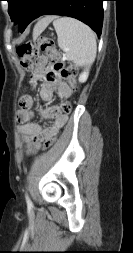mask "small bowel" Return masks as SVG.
Masks as SVG:
<instances>
[{"mask_svg": "<svg viewBox=\"0 0 133 253\" xmlns=\"http://www.w3.org/2000/svg\"><path fill=\"white\" fill-rule=\"evenodd\" d=\"M49 61H54V56H41L37 59L31 85L35 87L41 82L39 93L44 101H51L55 94L66 100L71 97L72 89L69 84L60 79L58 74L54 73L53 65ZM56 107L35 108L34 99L31 96L21 97L17 121L19 130L26 140L28 151L38 147L44 141L53 139L67 122L66 114H54ZM36 113L46 120L45 124L32 121Z\"/></svg>", "mask_w": 133, "mask_h": 253, "instance_id": "1", "label": "small bowel"}]
</instances>
